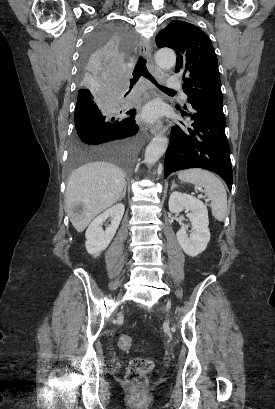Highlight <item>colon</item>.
<instances>
[{"label": "colon", "mask_w": 275, "mask_h": 409, "mask_svg": "<svg viewBox=\"0 0 275 409\" xmlns=\"http://www.w3.org/2000/svg\"><path fill=\"white\" fill-rule=\"evenodd\" d=\"M118 345L123 350L133 347V339L129 335H123L118 339ZM153 369V361L150 357H136L130 361L126 371L127 382L131 385L143 386L148 374Z\"/></svg>", "instance_id": "colon-1"}]
</instances>
